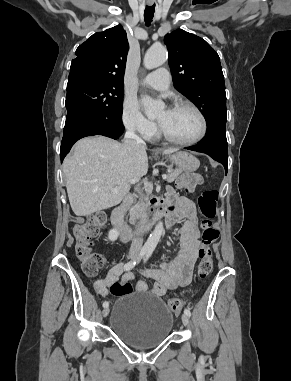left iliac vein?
<instances>
[{
	"label": "left iliac vein",
	"instance_id": "1",
	"mask_svg": "<svg viewBox=\"0 0 291 381\" xmlns=\"http://www.w3.org/2000/svg\"><path fill=\"white\" fill-rule=\"evenodd\" d=\"M182 323L187 326L189 324V316H187L186 314H183L182 317Z\"/></svg>",
	"mask_w": 291,
	"mask_h": 381
}]
</instances>
